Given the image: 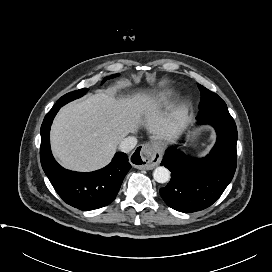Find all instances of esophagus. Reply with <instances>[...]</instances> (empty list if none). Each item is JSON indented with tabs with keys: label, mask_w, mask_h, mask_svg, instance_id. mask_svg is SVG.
Wrapping results in <instances>:
<instances>
[{
	"label": "esophagus",
	"mask_w": 272,
	"mask_h": 272,
	"mask_svg": "<svg viewBox=\"0 0 272 272\" xmlns=\"http://www.w3.org/2000/svg\"><path fill=\"white\" fill-rule=\"evenodd\" d=\"M131 156L132 163L138 169L151 170L156 167L162 159V151L156 143H145Z\"/></svg>",
	"instance_id": "1"
}]
</instances>
